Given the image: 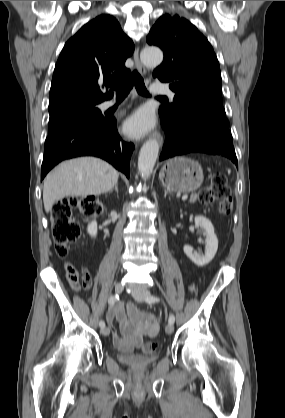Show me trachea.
<instances>
[{"label":"trachea","instance_id":"obj_1","mask_svg":"<svg viewBox=\"0 0 285 418\" xmlns=\"http://www.w3.org/2000/svg\"><path fill=\"white\" fill-rule=\"evenodd\" d=\"M135 86L137 92L141 95L147 96L148 92L146 90L144 80L137 71H133L126 79L122 82L110 84L112 89L116 90L117 98H125L130 90ZM166 98V97H162Z\"/></svg>","mask_w":285,"mask_h":418}]
</instances>
